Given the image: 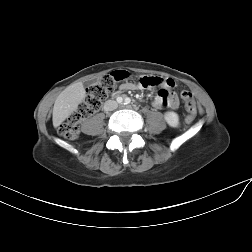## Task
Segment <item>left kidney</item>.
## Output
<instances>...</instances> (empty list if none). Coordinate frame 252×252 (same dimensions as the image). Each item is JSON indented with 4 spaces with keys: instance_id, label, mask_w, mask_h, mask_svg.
I'll return each mask as SVG.
<instances>
[{
    "instance_id": "obj_1",
    "label": "left kidney",
    "mask_w": 252,
    "mask_h": 252,
    "mask_svg": "<svg viewBox=\"0 0 252 252\" xmlns=\"http://www.w3.org/2000/svg\"><path fill=\"white\" fill-rule=\"evenodd\" d=\"M164 118L169 126L171 127H178L179 125V116L177 113L173 111L166 112L164 114Z\"/></svg>"
}]
</instances>
